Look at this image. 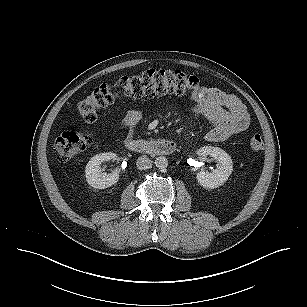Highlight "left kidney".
<instances>
[{
	"mask_svg": "<svg viewBox=\"0 0 307 307\" xmlns=\"http://www.w3.org/2000/svg\"><path fill=\"white\" fill-rule=\"evenodd\" d=\"M199 156L209 155L217 161V168L212 172L200 171L197 174L198 183L207 189L223 185L233 171L231 157L218 147L204 146L197 150Z\"/></svg>",
	"mask_w": 307,
	"mask_h": 307,
	"instance_id": "5707ae66",
	"label": "left kidney"
}]
</instances>
